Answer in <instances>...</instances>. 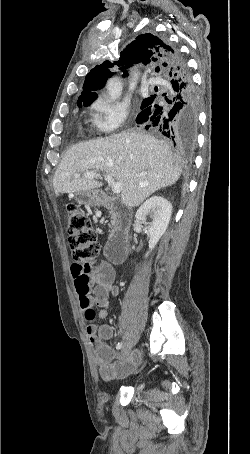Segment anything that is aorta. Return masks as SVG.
I'll list each match as a JSON object with an SVG mask.
<instances>
[{
	"instance_id": "obj_1",
	"label": "aorta",
	"mask_w": 250,
	"mask_h": 454,
	"mask_svg": "<svg viewBox=\"0 0 250 454\" xmlns=\"http://www.w3.org/2000/svg\"><path fill=\"white\" fill-rule=\"evenodd\" d=\"M107 101L109 103L118 100L122 94V83L118 78H111L107 83Z\"/></svg>"
}]
</instances>
